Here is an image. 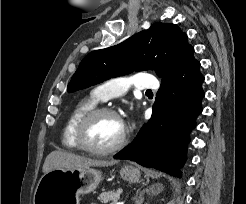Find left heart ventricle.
Returning a JSON list of instances; mask_svg holds the SVG:
<instances>
[{
  "instance_id": "left-heart-ventricle-1",
  "label": "left heart ventricle",
  "mask_w": 246,
  "mask_h": 204,
  "mask_svg": "<svg viewBox=\"0 0 246 204\" xmlns=\"http://www.w3.org/2000/svg\"><path fill=\"white\" fill-rule=\"evenodd\" d=\"M123 123L111 115H102L94 119L87 128V143L96 148L114 145L122 136Z\"/></svg>"
}]
</instances>
